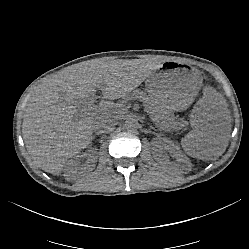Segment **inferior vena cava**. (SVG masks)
<instances>
[{"label": "inferior vena cava", "mask_w": 249, "mask_h": 249, "mask_svg": "<svg viewBox=\"0 0 249 249\" xmlns=\"http://www.w3.org/2000/svg\"><path fill=\"white\" fill-rule=\"evenodd\" d=\"M114 119L109 113H103L100 120L93 123L92 129L95 133H109L113 131Z\"/></svg>", "instance_id": "1"}]
</instances>
